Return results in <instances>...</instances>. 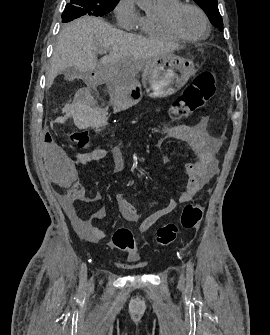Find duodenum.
I'll list each match as a JSON object with an SVG mask.
<instances>
[{"instance_id":"1","label":"duodenum","mask_w":270,"mask_h":335,"mask_svg":"<svg viewBox=\"0 0 270 335\" xmlns=\"http://www.w3.org/2000/svg\"><path fill=\"white\" fill-rule=\"evenodd\" d=\"M110 87H111V92L114 97L115 106L117 108H121L125 101V96H124L122 86L117 83H112Z\"/></svg>"}]
</instances>
